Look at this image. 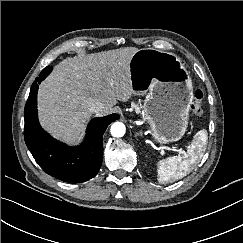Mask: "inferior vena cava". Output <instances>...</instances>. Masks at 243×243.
Masks as SVG:
<instances>
[{
    "label": "inferior vena cava",
    "mask_w": 243,
    "mask_h": 243,
    "mask_svg": "<svg viewBox=\"0 0 243 243\" xmlns=\"http://www.w3.org/2000/svg\"><path fill=\"white\" fill-rule=\"evenodd\" d=\"M87 104L91 113H101L105 108V105L96 99H89L87 101Z\"/></svg>",
    "instance_id": "1"
}]
</instances>
